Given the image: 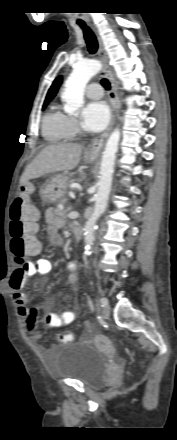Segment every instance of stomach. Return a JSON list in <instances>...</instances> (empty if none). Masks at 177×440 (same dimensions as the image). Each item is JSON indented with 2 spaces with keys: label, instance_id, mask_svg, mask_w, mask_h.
Returning a JSON list of instances; mask_svg holds the SVG:
<instances>
[{
  "label": "stomach",
  "instance_id": "stomach-1",
  "mask_svg": "<svg viewBox=\"0 0 177 440\" xmlns=\"http://www.w3.org/2000/svg\"><path fill=\"white\" fill-rule=\"evenodd\" d=\"M97 157L87 156V162H94ZM69 185V177L65 174H57L51 177L40 189V197L43 203H57L60 201Z\"/></svg>",
  "mask_w": 177,
  "mask_h": 440
}]
</instances>
